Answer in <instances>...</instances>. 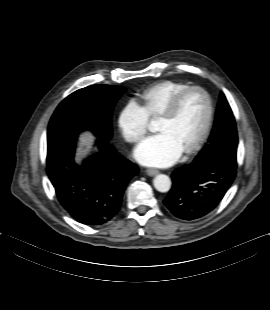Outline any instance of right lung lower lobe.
Returning <instances> with one entry per match:
<instances>
[{"label": "right lung lower lobe", "instance_id": "98d812e1", "mask_svg": "<svg viewBox=\"0 0 270 310\" xmlns=\"http://www.w3.org/2000/svg\"><path fill=\"white\" fill-rule=\"evenodd\" d=\"M76 140L48 136L47 174L59 202L76 221L100 225L118 212L124 190L139 170L100 138L99 152L78 167L73 160Z\"/></svg>", "mask_w": 270, "mask_h": 310}]
</instances>
